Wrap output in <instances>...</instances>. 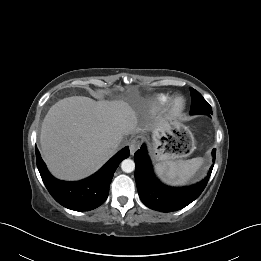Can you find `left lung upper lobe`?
Here are the masks:
<instances>
[{"mask_svg":"<svg viewBox=\"0 0 261 261\" xmlns=\"http://www.w3.org/2000/svg\"><path fill=\"white\" fill-rule=\"evenodd\" d=\"M191 98H192V108L190 114H205L210 115L212 113L211 106L202 97V95L193 88H190Z\"/></svg>","mask_w":261,"mask_h":261,"instance_id":"1","label":"left lung upper lobe"}]
</instances>
